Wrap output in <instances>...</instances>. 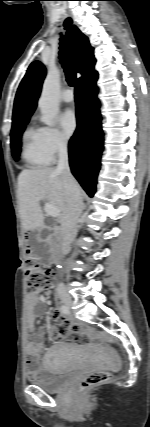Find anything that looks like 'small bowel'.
Returning <instances> with one entry per match:
<instances>
[{"label": "small bowel", "mask_w": 150, "mask_h": 427, "mask_svg": "<svg viewBox=\"0 0 150 427\" xmlns=\"http://www.w3.org/2000/svg\"><path fill=\"white\" fill-rule=\"evenodd\" d=\"M49 304L50 302L43 297H30L27 300L28 341L26 343V352L30 357L39 356L43 348L44 331L43 329H39L38 331L35 330V321L43 314L45 307ZM51 317L57 324L55 331L56 335L74 336L78 343L85 342L79 337L80 332L77 326L66 320L59 311H52ZM46 361H48V359ZM28 365L29 378L38 379L44 377V374L33 366L32 361H28Z\"/></svg>", "instance_id": "small-bowel-1"}]
</instances>
